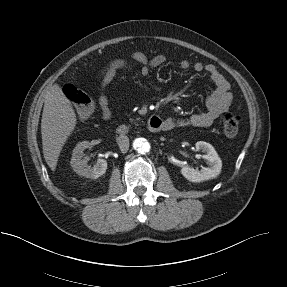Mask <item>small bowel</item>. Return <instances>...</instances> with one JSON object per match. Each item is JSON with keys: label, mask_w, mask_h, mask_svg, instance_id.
Returning a JSON list of instances; mask_svg holds the SVG:
<instances>
[{"label": "small bowel", "mask_w": 287, "mask_h": 287, "mask_svg": "<svg viewBox=\"0 0 287 287\" xmlns=\"http://www.w3.org/2000/svg\"><path fill=\"white\" fill-rule=\"evenodd\" d=\"M129 61H133L140 65V73L143 76L149 75L151 70L160 67L166 62V56L157 54L153 57H148L140 51L133 52L129 59L116 58L110 61L99 72L100 81V96L99 105L102 112V117L109 120L112 116L109 100L106 95L107 86L113 81L117 73L125 69ZM179 67L184 70H192L195 73H205L215 85V90L206 100V110L192 114L186 118H165L161 119L163 123L162 130H173L187 127H208L224 112H226L233 100V95L230 92V83L220 73V71L212 64H203L201 62L191 63L188 60H182Z\"/></svg>", "instance_id": "1"}]
</instances>
